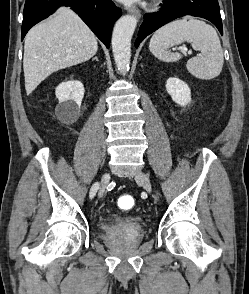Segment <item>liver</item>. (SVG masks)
I'll use <instances>...</instances> for the list:
<instances>
[{
  "label": "liver",
  "mask_w": 249,
  "mask_h": 294,
  "mask_svg": "<svg viewBox=\"0 0 249 294\" xmlns=\"http://www.w3.org/2000/svg\"><path fill=\"white\" fill-rule=\"evenodd\" d=\"M97 38L68 7L34 26L25 37L23 69L25 90L31 94L52 73L92 58Z\"/></svg>",
  "instance_id": "obj_1"
}]
</instances>
